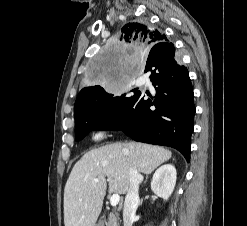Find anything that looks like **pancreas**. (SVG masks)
<instances>
[{"label": "pancreas", "instance_id": "cf45deb5", "mask_svg": "<svg viewBox=\"0 0 247 226\" xmlns=\"http://www.w3.org/2000/svg\"><path fill=\"white\" fill-rule=\"evenodd\" d=\"M106 226H119L118 216L114 213H110L108 222H106Z\"/></svg>", "mask_w": 247, "mask_h": 226}]
</instances>
